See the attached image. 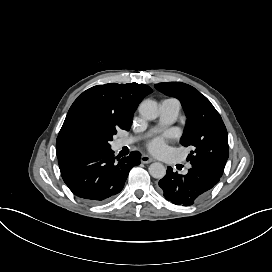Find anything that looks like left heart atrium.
I'll return each mask as SVG.
<instances>
[{"label": "left heart atrium", "mask_w": 272, "mask_h": 272, "mask_svg": "<svg viewBox=\"0 0 272 272\" xmlns=\"http://www.w3.org/2000/svg\"><path fill=\"white\" fill-rule=\"evenodd\" d=\"M152 149L155 151V152H160L162 150L165 149V144L163 142L162 139H159V140H156L153 144H152Z\"/></svg>", "instance_id": "1"}]
</instances>
